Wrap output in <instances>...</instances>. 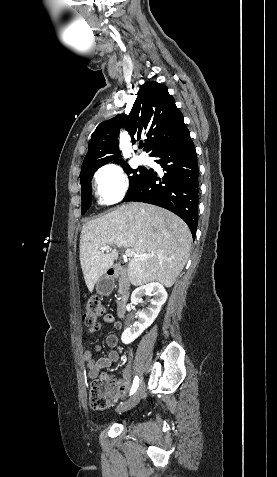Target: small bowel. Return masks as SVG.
Instances as JSON below:
<instances>
[{
  "mask_svg": "<svg viewBox=\"0 0 277 477\" xmlns=\"http://www.w3.org/2000/svg\"><path fill=\"white\" fill-rule=\"evenodd\" d=\"M103 320L106 324H113L114 328L120 330L122 323L116 321L112 314H105ZM101 328V324L97 323L93 327L87 329V334H93ZM106 344L111 348L109 353L102 357H95L94 353L101 350L100 345H95L90 349H87L83 354V359L88 368V377L91 380L97 379L103 369L111 367L112 364L119 360V353L114 348L118 344V337L116 334H109L106 337Z\"/></svg>",
  "mask_w": 277,
  "mask_h": 477,
  "instance_id": "small-bowel-1",
  "label": "small bowel"
}]
</instances>
